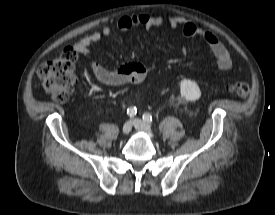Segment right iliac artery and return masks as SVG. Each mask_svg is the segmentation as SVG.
Segmentation results:
<instances>
[{
	"label": "right iliac artery",
	"mask_w": 275,
	"mask_h": 215,
	"mask_svg": "<svg viewBox=\"0 0 275 215\" xmlns=\"http://www.w3.org/2000/svg\"><path fill=\"white\" fill-rule=\"evenodd\" d=\"M137 113V108L136 107H130L127 109V114L130 116V117H133L135 116Z\"/></svg>",
	"instance_id": "1"
}]
</instances>
